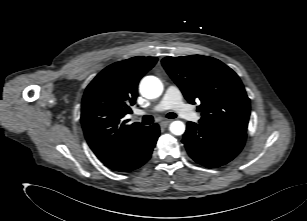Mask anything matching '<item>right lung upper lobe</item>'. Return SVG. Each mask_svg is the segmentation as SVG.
<instances>
[{
	"instance_id": "cb5924a9",
	"label": "right lung upper lobe",
	"mask_w": 307,
	"mask_h": 221,
	"mask_svg": "<svg viewBox=\"0 0 307 221\" xmlns=\"http://www.w3.org/2000/svg\"><path fill=\"white\" fill-rule=\"evenodd\" d=\"M157 62L154 57H133L109 65L87 86L81 123L88 145L105 159L144 128L140 123L125 124L131 113L142 76Z\"/></svg>"
}]
</instances>
